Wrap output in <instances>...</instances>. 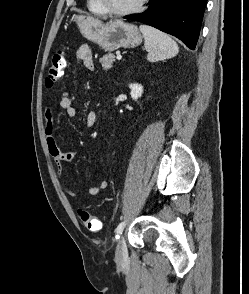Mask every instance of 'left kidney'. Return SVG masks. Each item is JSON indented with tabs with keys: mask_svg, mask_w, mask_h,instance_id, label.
Here are the masks:
<instances>
[{
	"mask_svg": "<svg viewBox=\"0 0 249 294\" xmlns=\"http://www.w3.org/2000/svg\"><path fill=\"white\" fill-rule=\"evenodd\" d=\"M129 88L131 89L130 95L133 100L137 101L143 93V86L138 83H132L129 85Z\"/></svg>",
	"mask_w": 249,
	"mask_h": 294,
	"instance_id": "5707ae66",
	"label": "left kidney"
}]
</instances>
